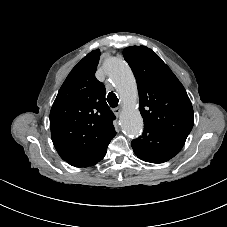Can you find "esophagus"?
<instances>
[{"mask_svg": "<svg viewBox=\"0 0 227 227\" xmlns=\"http://www.w3.org/2000/svg\"><path fill=\"white\" fill-rule=\"evenodd\" d=\"M114 114H115L117 117H119L120 114H121V108H115V109H114Z\"/></svg>", "mask_w": 227, "mask_h": 227, "instance_id": "esophagus-1", "label": "esophagus"}]
</instances>
